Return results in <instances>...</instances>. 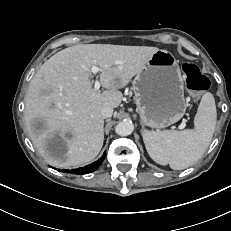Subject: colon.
I'll use <instances>...</instances> for the list:
<instances>
[{
    "label": "colon",
    "instance_id": "obj_1",
    "mask_svg": "<svg viewBox=\"0 0 231 231\" xmlns=\"http://www.w3.org/2000/svg\"><path fill=\"white\" fill-rule=\"evenodd\" d=\"M184 75L186 76L187 87L193 92H201L208 89L210 82L192 63H184L182 66Z\"/></svg>",
    "mask_w": 231,
    "mask_h": 231
}]
</instances>
